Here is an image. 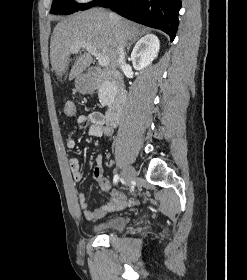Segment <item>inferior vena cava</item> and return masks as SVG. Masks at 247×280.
<instances>
[{
	"label": "inferior vena cava",
	"instance_id": "602c4592",
	"mask_svg": "<svg viewBox=\"0 0 247 280\" xmlns=\"http://www.w3.org/2000/svg\"><path fill=\"white\" fill-rule=\"evenodd\" d=\"M111 17H113V14H110ZM117 63L120 66L125 65V51H124V46L120 45L118 48V59Z\"/></svg>",
	"mask_w": 247,
	"mask_h": 280
}]
</instances>
